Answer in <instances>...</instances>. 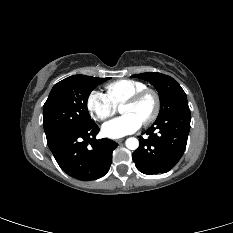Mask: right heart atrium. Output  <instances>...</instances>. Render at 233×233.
<instances>
[{
    "mask_svg": "<svg viewBox=\"0 0 233 233\" xmlns=\"http://www.w3.org/2000/svg\"><path fill=\"white\" fill-rule=\"evenodd\" d=\"M86 106L91 117L97 121H104L116 112V107L108 97L95 90L89 94Z\"/></svg>",
    "mask_w": 233,
    "mask_h": 233,
    "instance_id": "1",
    "label": "right heart atrium"
}]
</instances>
